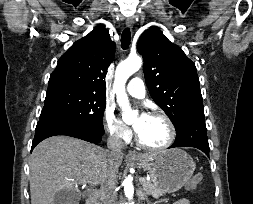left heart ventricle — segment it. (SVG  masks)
Returning a JSON list of instances; mask_svg holds the SVG:
<instances>
[{
    "label": "left heart ventricle",
    "instance_id": "b2bd125f",
    "mask_svg": "<svg viewBox=\"0 0 253 204\" xmlns=\"http://www.w3.org/2000/svg\"><path fill=\"white\" fill-rule=\"evenodd\" d=\"M136 130L142 141L151 146H160L164 144L169 137V130L166 123L157 117L147 116L143 121L140 117L134 121Z\"/></svg>",
    "mask_w": 253,
    "mask_h": 204
}]
</instances>
